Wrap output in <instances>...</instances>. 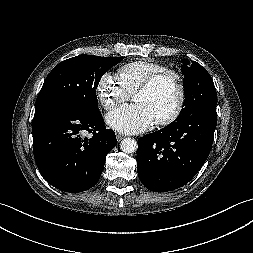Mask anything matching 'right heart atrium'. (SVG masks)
I'll return each instance as SVG.
<instances>
[{
	"instance_id": "right-heart-atrium-1",
	"label": "right heart atrium",
	"mask_w": 253,
	"mask_h": 253,
	"mask_svg": "<svg viewBox=\"0 0 253 253\" xmlns=\"http://www.w3.org/2000/svg\"><path fill=\"white\" fill-rule=\"evenodd\" d=\"M97 95L104 109L111 111L131 97V92L113 73H104L96 86Z\"/></svg>"
}]
</instances>
